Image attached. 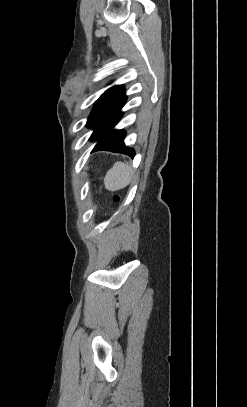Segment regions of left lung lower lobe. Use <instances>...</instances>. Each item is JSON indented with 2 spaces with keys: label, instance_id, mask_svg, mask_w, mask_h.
I'll list each match as a JSON object with an SVG mask.
<instances>
[{
  "label": "left lung lower lobe",
  "instance_id": "obj_1",
  "mask_svg": "<svg viewBox=\"0 0 247 407\" xmlns=\"http://www.w3.org/2000/svg\"><path fill=\"white\" fill-rule=\"evenodd\" d=\"M126 102V96L123 92L107 109L98 117L92 125L94 129L90 140L98 141L92 151H112L120 152L130 157H134L135 151L127 147L123 140L125 138L124 130H113L122 116L121 108Z\"/></svg>",
  "mask_w": 247,
  "mask_h": 407
}]
</instances>
